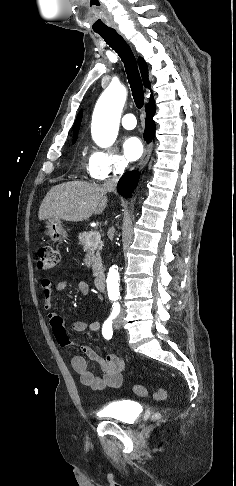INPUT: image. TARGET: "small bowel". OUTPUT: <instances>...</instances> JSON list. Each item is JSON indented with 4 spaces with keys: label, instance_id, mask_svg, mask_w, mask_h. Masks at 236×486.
Instances as JSON below:
<instances>
[{
    "label": "small bowel",
    "instance_id": "1",
    "mask_svg": "<svg viewBox=\"0 0 236 486\" xmlns=\"http://www.w3.org/2000/svg\"><path fill=\"white\" fill-rule=\"evenodd\" d=\"M42 294L44 297V309L48 312L47 317L53 329L54 335L61 346L71 343L61 316L52 312V297L56 292H60L68 287L66 280L53 284L49 279L43 278L40 282ZM78 289L83 294L90 293L89 285L84 281L78 282ZM74 332L81 333L84 331L96 332L101 329V322L98 320L87 323L85 321H76L72 325ZM82 352L92 361H94L102 370V376H96L88 368V363L83 356L76 355L71 359V365L74 371L79 375L82 384L95 391H102L106 388L117 389L123 383V373L126 368L125 361L115 354H107L105 357L100 356L93 348L87 345L80 346Z\"/></svg>",
    "mask_w": 236,
    "mask_h": 486
}]
</instances>
